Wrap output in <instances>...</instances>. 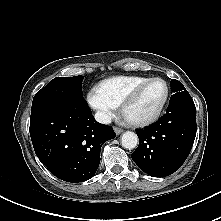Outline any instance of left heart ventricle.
Listing matches in <instances>:
<instances>
[{"label": "left heart ventricle", "instance_id": "b2bd125f", "mask_svg": "<svg viewBox=\"0 0 221 221\" xmlns=\"http://www.w3.org/2000/svg\"><path fill=\"white\" fill-rule=\"evenodd\" d=\"M165 95V87L160 82H154L143 89L139 98L127 112L130 119L138 120L152 115L161 104Z\"/></svg>", "mask_w": 221, "mask_h": 221}]
</instances>
